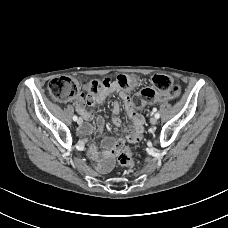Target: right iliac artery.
<instances>
[{"mask_svg":"<svg viewBox=\"0 0 228 228\" xmlns=\"http://www.w3.org/2000/svg\"><path fill=\"white\" fill-rule=\"evenodd\" d=\"M78 117L76 115L73 116V120L77 121Z\"/></svg>","mask_w":228,"mask_h":228,"instance_id":"right-iliac-artery-1","label":"right iliac artery"}]
</instances>
